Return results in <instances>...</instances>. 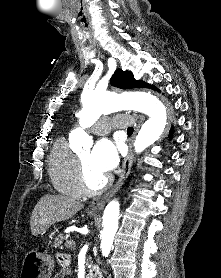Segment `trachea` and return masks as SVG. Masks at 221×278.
<instances>
[{
  "mask_svg": "<svg viewBox=\"0 0 221 278\" xmlns=\"http://www.w3.org/2000/svg\"><path fill=\"white\" fill-rule=\"evenodd\" d=\"M133 131H134V129H133L132 127H129V128L127 129V133H128V134H132Z\"/></svg>",
  "mask_w": 221,
  "mask_h": 278,
  "instance_id": "1",
  "label": "trachea"
}]
</instances>
